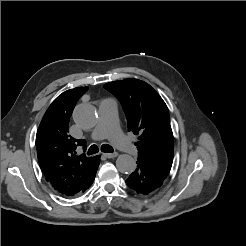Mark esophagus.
I'll list each match as a JSON object with an SVG mask.
<instances>
[{
    "label": "esophagus",
    "instance_id": "1",
    "mask_svg": "<svg viewBox=\"0 0 246 246\" xmlns=\"http://www.w3.org/2000/svg\"><path fill=\"white\" fill-rule=\"evenodd\" d=\"M104 157L108 158V159H111V158H115L118 156V153H104L103 154Z\"/></svg>",
    "mask_w": 246,
    "mask_h": 246
}]
</instances>
